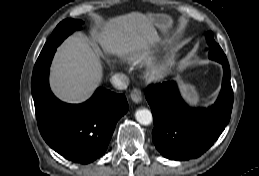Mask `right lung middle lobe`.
Here are the masks:
<instances>
[{
    "instance_id": "1",
    "label": "right lung middle lobe",
    "mask_w": 259,
    "mask_h": 176,
    "mask_svg": "<svg viewBox=\"0 0 259 176\" xmlns=\"http://www.w3.org/2000/svg\"><path fill=\"white\" fill-rule=\"evenodd\" d=\"M82 24L83 21L77 19H65L60 22L44 45L41 53L57 47L68 35L75 30H79Z\"/></svg>"
}]
</instances>
